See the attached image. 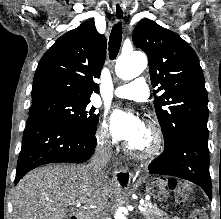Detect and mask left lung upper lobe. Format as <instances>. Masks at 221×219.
<instances>
[{"instance_id": "obj_1", "label": "left lung upper lobe", "mask_w": 221, "mask_h": 219, "mask_svg": "<svg viewBox=\"0 0 221 219\" xmlns=\"http://www.w3.org/2000/svg\"><path fill=\"white\" fill-rule=\"evenodd\" d=\"M134 44L149 59L154 93L163 91L154 101L165 145L193 130L208 135V96L199 59L191 46L178 34L147 18L136 25Z\"/></svg>"}]
</instances>
